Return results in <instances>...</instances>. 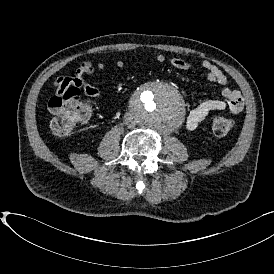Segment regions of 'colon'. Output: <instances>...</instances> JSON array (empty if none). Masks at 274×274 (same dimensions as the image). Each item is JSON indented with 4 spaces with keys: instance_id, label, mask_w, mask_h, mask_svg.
Listing matches in <instances>:
<instances>
[{
    "instance_id": "5ec220e1",
    "label": "colon",
    "mask_w": 274,
    "mask_h": 274,
    "mask_svg": "<svg viewBox=\"0 0 274 274\" xmlns=\"http://www.w3.org/2000/svg\"><path fill=\"white\" fill-rule=\"evenodd\" d=\"M49 110L57 111L50 121V129L55 135H67L75 126L87 123L93 116V103L81 97L80 92L52 94L47 102ZM211 129L217 136L228 134L233 129V120L226 115H215L211 120Z\"/></svg>"
}]
</instances>
